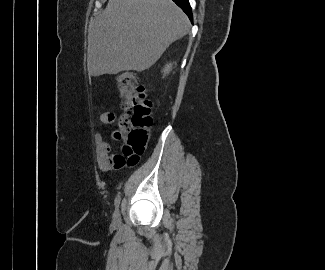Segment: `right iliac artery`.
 Here are the masks:
<instances>
[{"label":"right iliac artery","instance_id":"82829eb1","mask_svg":"<svg viewBox=\"0 0 325 270\" xmlns=\"http://www.w3.org/2000/svg\"><path fill=\"white\" fill-rule=\"evenodd\" d=\"M120 201H121V197H120V195H118V196L115 198V201H114V205H115L116 208L119 207V205H120Z\"/></svg>","mask_w":325,"mask_h":270}]
</instances>
